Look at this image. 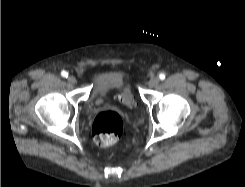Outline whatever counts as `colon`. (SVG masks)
Wrapping results in <instances>:
<instances>
[{
  "label": "colon",
  "mask_w": 245,
  "mask_h": 187,
  "mask_svg": "<svg viewBox=\"0 0 245 187\" xmlns=\"http://www.w3.org/2000/svg\"><path fill=\"white\" fill-rule=\"evenodd\" d=\"M119 100L126 106L131 105V100L126 93L120 95ZM123 131V122L121 117L111 111L99 113L92 125V134L94 141L102 147L113 146L120 138Z\"/></svg>",
  "instance_id": "1"
}]
</instances>
